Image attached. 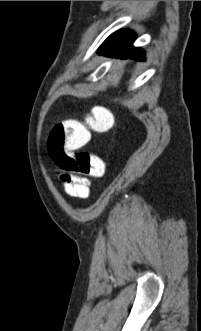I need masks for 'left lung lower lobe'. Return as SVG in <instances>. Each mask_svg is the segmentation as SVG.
<instances>
[{"instance_id": "left-lung-lower-lobe-1", "label": "left lung lower lobe", "mask_w": 201, "mask_h": 331, "mask_svg": "<svg viewBox=\"0 0 201 331\" xmlns=\"http://www.w3.org/2000/svg\"><path fill=\"white\" fill-rule=\"evenodd\" d=\"M134 39L135 35L127 30L113 33L101 45V52L106 56L143 61L145 57L142 50L132 47Z\"/></svg>"}]
</instances>
